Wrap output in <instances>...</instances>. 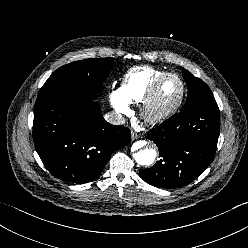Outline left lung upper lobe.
I'll return each instance as SVG.
<instances>
[{"label":"left lung upper lobe","mask_w":248,"mask_h":248,"mask_svg":"<svg viewBox=\"0 0 248 248\" xmlns=\"http://www.w3.org/2000/svg\"><path fill=\"white\" fill-rule=\"evenodd\" d=\"M183 77L188 87V97L182 110H187L193 107H197L201 104L214 102L212 92L208 86L199 78L192 75L186 69L182 68Z\"/></svg>","instance_id":"obj_1"}]
</instances>
